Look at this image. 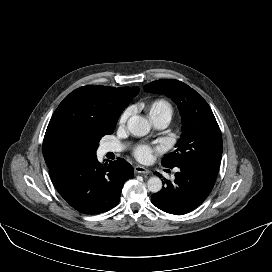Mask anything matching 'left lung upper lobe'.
Returning <instances> with one entry per match:
<instances>
[{"label":"left lung upper lobe","instance_id":"1","mask_svg":"<svg viewBox=\"0 0 272 272\" xmlns=\"http://www.w3.org/2000/svg\"><path fill=\"white\" fill-rule=\"evenodd\" d=\"M144 90L172 98L182 116V133L176 150L165 155L162 165L168 168L187 166L217 177L222 136L207 102L194 89L174 79L153 81L145 85Z\"/></svg>","mask_w":272,"mask_h":272}]
</instances>
